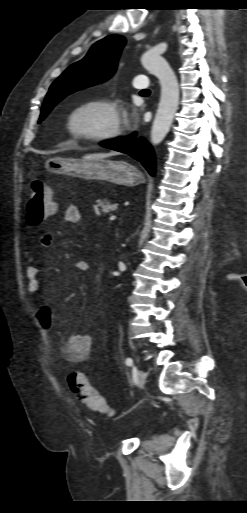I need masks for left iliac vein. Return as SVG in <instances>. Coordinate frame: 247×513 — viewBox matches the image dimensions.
Segmentation results:
<instances>
[{
  "instance_id": "left-iliac-vein-1",
  "label": "left iliac vein",
  "mask_w": 247,
  "mask_h": 513,
  "mask_svg": "<svg viewBox=\"0 0 247 513\" xmlns=\"http://www.w3.org/2000/svg\"><path fill=\"white\" fill-rule=\"evenodd\" d=\"M146 378H147L146 373L142 370H139L138 371V387H139V389L142 390L144 388V385L146 383Z\"/></svg>"
}]
</instances>
